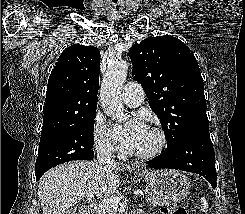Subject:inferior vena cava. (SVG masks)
<instances>
[{"label":"inferior vena cava","instance_id":"obj_1","mask_svg":"<svg viewBox=\"0 0 245 214\" xmlns=\"http://www.w3.org/2000/svg\"><path fill=\"white\" fill-rule=\"evenodd\" d=\"M97 160L103 167H112L116 162L111 158L112 148L104 142H98L97 145Z\"/></svg>","mask_w":245,"mask_h":214}]
</instances>
